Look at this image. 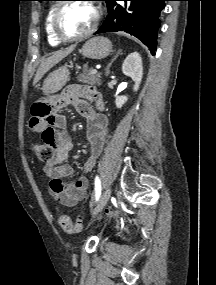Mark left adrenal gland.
<instances>
[{"label":"left adrenal gland","instance_id":"a2214340","mask_svg":"<svg viewBox=\"0 0 216 285\" xmlns=\"http://www.w3.org/2000/svg\"><path fill=\"white\" fill-rule=\"evenodd\" d=\"M122 53V50L120 49V50H118L117 51V53H116V55L114 56V58L111 60V62L107 65V67H106V76L109 74V69H110V67H111V65H112V63L115 61V59L118 57V55H120Z\"/></svg>","mask_w":216,"mask_h":285}]
</instances>
